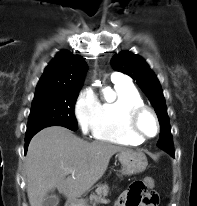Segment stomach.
Listing matches in <instances>:
<instances>
[{
    "label": "stomach",
    "instance_id": "1",
    "mask_svg": "<svg viewBox=\"0 0 197 206\" xmlns=\"http://www.w3.org/2000/svg\"><path fill=\"white\" fill-rule=\"evenodd\" d=\"M118 159L122 165V175H134L143 172L148 161L146 156L137 151L127 150L118 154ZM70 206H87L84 200L71 203Z\"/></svg>",
    "mask_w": 197,
    "mask_h": 206
}]
</instances>
